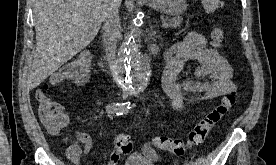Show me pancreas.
<instances>
[{
    "instance_id": "pancreas-1",
    "label": "pancreas",
    "mask_w": 276,
    "mask_h": 165,
    "mask_svg": "<svg viewBox=\"0 0 276 165\" xmlns=\"http://www.w3.org/2000/svg\"><path fill=\"white\" fill-rule=\"evenodd\" d=\"M181 22H182L181 18L171 19L169 21V26L172 27V28H176L181 24Z\"/></svg>"
}]
</instances>
